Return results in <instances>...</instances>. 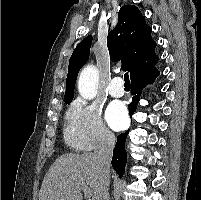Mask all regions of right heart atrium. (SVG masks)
<instances>
[{"instance_id": "right-heart-atrium-1", "label": "right heart atrium", "mask_w": 201, "mask_h": 200, "mask_svg": "<svg viewBox=\"0 0 201 200\" xmlns=\"http://www.w3.org/2000/svg\"><path fill=\"white\" fill-rule=\"evenodd\" d=\"M65 139L73 148L84 151L110 148L115 142L99 106L83 99L75 100L67 111Z\"/></svg>"}]
</instances>
